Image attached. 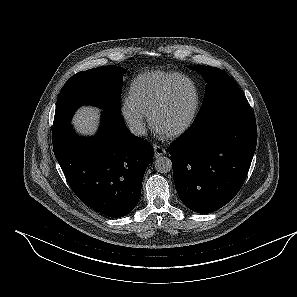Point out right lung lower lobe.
Segmentation results:
<instances>
[{"label":"right lung lower lobe","instance_id":"98d812e1","mask_svg":"<svg viewBox=\"0 0 297 297\" xmlns=\"http://www.w3.org/2000/svg\"><path fill=\"white\" fill-rule=\"evenodd\" d=\"M52 142L70 187L84 204L113 218L137 205L154 152L149 142L129 132L119 113L104 110L93 138L78 137L68 125Z\"/></svg>","mask_w":297,"mask_h":297}]
</instances>
